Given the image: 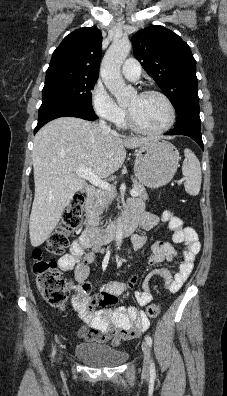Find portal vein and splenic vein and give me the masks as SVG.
I'll return each instance as SVG.
<instances>
[{
    "mask_svg": "<svg viewBox=\"0 0 227 396\" xmlns=\"http://www.w3.org/2000/svg\"><path fill=\"white\" fill-rule=\"evenodd\" d=\"M74 174L80 178H84V179L88 180L91 184H93L94 186H97L103 190L111 191L113 189L109 183L105 182L100 177L95 175L91 170H89L85 167L78 168ZM130 194L132 196H137L138 192L135 189H132L130 191Z\"/></svg>",
    "mask_w": 227,
    "mask_h": 396,
    "instance_id": "obj_1",
    "label": "portal vein and splenic vein"
}]
</instances>
